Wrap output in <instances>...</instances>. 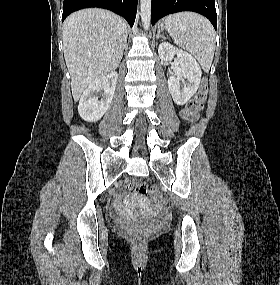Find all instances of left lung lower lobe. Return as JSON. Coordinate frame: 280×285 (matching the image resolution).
Listing matches in <instances>:
<instances>
[{"label": "left lung lower lobe", "mask_w": 280, "mask_h": 285, "mask_svg": "<svg viewBox=\"0 0 280 285\" xmlns=\"http://www.w3.org/2000/svg\"><path fill=\"white\" fill-rule=\"evenodd\" d=\"M181 11H193L204 15L216 30L215 0H152V25L168 14Z\"/></svg>", "instance_id": "left-lung-lower-lobe-1"}]
</instances>
